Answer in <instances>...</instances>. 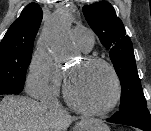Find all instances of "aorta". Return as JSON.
Returning a JSON list of instances; mask_svg holds the SVG:
<instances>
[{
	"label": "aorta",
	"mask_w": 151,
	"mask_h": 131,
	"mask_svg": "<svg viewBox=\"0 0 151 131\" xmlns=\"http://www.w3.org/2000/svg\"><path fill=\"white\" fill-rule=\"evenodd\" d=\"M69 15L58 13L52 17L45 29V39L57 60L67 61L76 56L73 42L68 33Z\"/></svg>",
	"instance_id": "762f6f07"
}]
</instances>
